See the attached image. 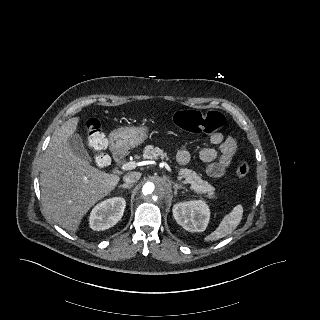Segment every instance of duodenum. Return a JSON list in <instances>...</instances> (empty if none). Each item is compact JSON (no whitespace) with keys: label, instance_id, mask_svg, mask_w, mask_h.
<instances>
[{"label":"duodenum","instance_id":"410a0bca","mask_svg":"<svg viewBox=\"0 0 320 320\" xmlns=\"http://www.w3.org/2000/svg\"><path fill=\"white\" fill-rule=\"evenodd\" d=\"M113 156L116 161H121L124 157L123 149L116 143L112 145Z\"/></svg>","mask_w":320,"mask_h":320}]
</instances>
